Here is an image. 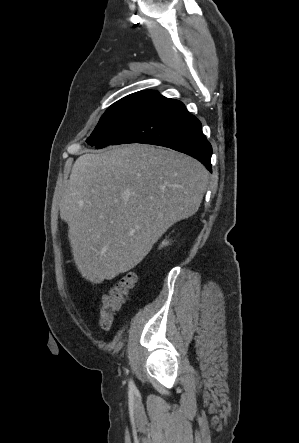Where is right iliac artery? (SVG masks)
Returning <instances> with one entry per match:
<instances>
[{
    "instance_id": "1",
    "label": "right iliac artery",
    "mask_w": 299,
    "mask_h": 443,
    "mask_svg": "<svg viewBox=\"0 0 299 443\" xmlns=\"http://www.w3.org/2000/svg\"><path fill=\"white\" fill-rule=\"evenodd\" d=\"M129 387H130V389H134V384L132 381L129 382Z\"/></svg>"
}]
</instances>
